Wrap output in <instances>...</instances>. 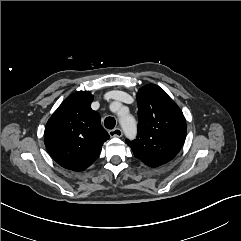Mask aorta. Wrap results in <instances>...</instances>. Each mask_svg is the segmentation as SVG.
<instances>
[{
  "label": "aorta",
  "mask_w": 241,
  "mask_h": 241,
  "mask_svg": "<svg viewBox=\"0 0 241 241\" xmlns=\"http://www.w3.org/2000/svg\"><path fill=\"white\" fill-rule=\"evenodd\" d=\"M119 123L125 135L129 138H134L137 132L136 121L133 116L129 114L119 113Z\"/></svg>",
  "instance_id": "obj_1"
}]
</instances>
